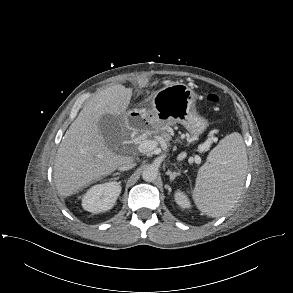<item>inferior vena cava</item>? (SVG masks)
I'll use <instances>...</instances> for the list:
<instances>
[{
	"label": "inferior vena cava",
	"instance_id": "obj_1",
	"mask_svg": "<svg viewBox=\"0 0 293 293\" xmlns=\"http://www.w3.org/2000/svg\"><path fill=\"white\" fill-rule=\"evenodd\" d=\"M135 162L133 160V158L131 157H126L125 161L119 166V170L120 171H126L129 169H132L133 167H135Z\"/></svg>",
	"mask_w": 293,
	"mask_h": 293
}]
</instances>
